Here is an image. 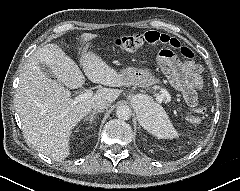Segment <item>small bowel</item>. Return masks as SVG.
<instances>
[{
    "label": "small bowel",
    "instance_id": "small-bowel-1",
    "mask_svg": "<svg viewBox=\"0 0 240 191\" xmlns=\"http://www.w3.org/2000/svg\"><path fill=\"white\" fill-rule=\"evenodd\" d=\"M202 72V66L192 60L182 62L174 58L168 66L167 74L172 84L184 94L190 106L197 103L196 90L204 83Z\"/></svg>",
    "mask_w": 240,
    "mask_h": 191
}]
</instances>
